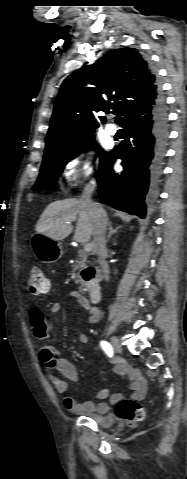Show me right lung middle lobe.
Wrapping results in <instances>:
<instances>
[{
    "label": "right lung middle lobe",
    "mask_w": 187,
    "mask_h": 479,
    "mask_svg": "<svg viewBox=\"0 0 187 479\" xmlns=\"http://www.w3.org/2000/svg\"><path fill=\"white\" fill-rule=\"evenodd\" d=\"M95 148L97 149L98 155L100 156V163L102 164L108 152L96 146L93 133L84 136L73 144L46 150L34 189L41 190L52 185L63 171L65 165L72 158L84 151Z\"/></svg>",
    "instance_id": "dd1d6c3e"
}]
</instances>
